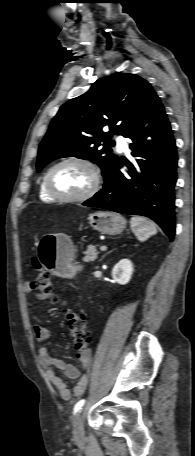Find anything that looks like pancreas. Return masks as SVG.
<instances>
[{"instance_id": "1", "label": "pancreas", "mask_w": 195, "mask_h": 456, "mask_svg": "<svg viewBox=\"0 0 195 456\" xmlns=\"http://www.w3.org/2000/svg\"><path fill=\"white\" fill-rule=\"evenodd\" d=\"M98 251L96 249V246H88L86 251L83 252V254L85 255L83 260L85 262H91V261H95L98 257Z\"/></svg>"}]
</instances>
